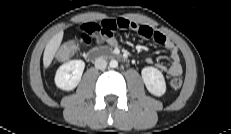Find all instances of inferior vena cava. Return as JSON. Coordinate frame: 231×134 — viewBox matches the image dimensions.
<instances>
[{
	"mask_svg": "<svg viewBox=\"0 0 231 134\" xmlns=\"http://www.w3.org/2000/svg\"><path fill=\"white\" fill-rule=\"evenodd\" d=\"M95 67L97 69L103 70L107 67V62L104 58L100 57L95 60Z\"/></svg>",
	"mask_w": 231,
	"mask_h": 134,
	"instance_id": "1",
	"label": "inferior vena cava"
}]
</instances>
